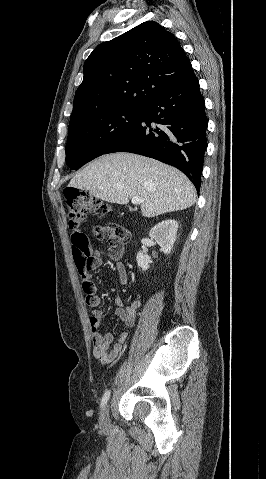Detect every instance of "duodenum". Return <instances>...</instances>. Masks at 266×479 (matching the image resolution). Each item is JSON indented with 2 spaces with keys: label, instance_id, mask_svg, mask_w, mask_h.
<instances>
[{
  "label": "duodenum",
  "instance_id": "duodenum-1",
  "mask_svg": "<svg viewBox=\"0 0 266 479\" xmlns=\"http://www.w3.org/2000/svg\"><path fill=\"white\" fill-rule=\"evenodd\" d=\"M123 246L121 244L116 245L114 244L113 247L110 250V254L112 258H116L117 256H122L123 255Z\"/></svg>",
  "mask_w": 266,
  "mask_h": 479
}]
</instances>
